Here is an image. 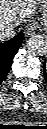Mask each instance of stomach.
<instances>
[{"label":"stomach","mask_w":47,"mask_h":129,"mask_svg":"<svg viewBox=\"0 0 47 129\" xmlns=\"http://www.w3.org/2000/svg\"><path fill=\"white\" fill-rule=\"evenodd\" d=\"M38 3L42 11L41 23L47 26V0H39Z\"/></svg>","instance_id":"1"}]
</instances>
